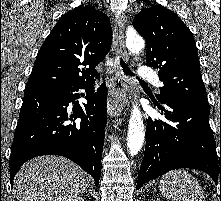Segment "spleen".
<instances>
[{
    "label": "spleen",
    "mask_w": 221,
    "mask_h": 201,
    "mask_svg": "<svg viewBox=\"0 0 221 201\" xmlns=\"http://www.w3.org/2000/svg\"><path fill=\"white\" fill-rule=\"evenodd\" d=\"M160 192L173 201H205L199 182L186 170H172L162 176Z\"/></svg>",
    "instance_id": "3e777b00"
}]
</instances>
